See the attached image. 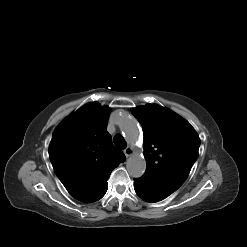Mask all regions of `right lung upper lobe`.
<instances>
[{
  "label": "right lung upper lobe",
  "mask_w": 247,
  "mask_h": 247,
  "mask_svg": "<svg viewBox=\"0 0 247 247\" xmlns=\"http://www.w3.org/2000/svg\"><path fill=\"white\" fill-rule=\"evenodd\" d=\"M110 108L88 103L54 130L49 157L58 178L77 200L90 202L125 155L107 132Z\"/></svg>",
  "instance_id": "1"
}]
</instances>
